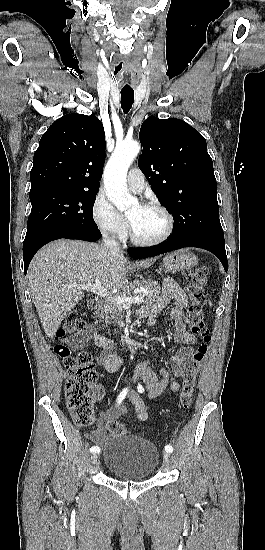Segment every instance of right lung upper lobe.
<instances>
[{
	"label": "right lung upper lobe",
	"mask_w": 265,
	"mask_h": 550,
	"mask_svg": "<svg viewBox=\"0 0 265 550\" xmlns=\"http://www.w3.org/2000/svg\"><path fill=\"white\" fill-rule=\"evenodd\" d=\"M105 145L104 128L96 116L67 114L57 119L34 153L30 191L98 192Z\"/></svg>",
	"instance_id": "cb5924a9"
}]
</instances>
